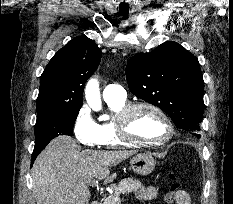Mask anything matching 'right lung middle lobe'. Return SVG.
<instances>
[{
  "label": "right lung middle lobe",
  "mask_w": 233,
  "mask_h": 204,
  "mask_svg": "<svg viewBox=\"0 0 233 204\" xmlns=\"http://www.w3.org/2000/svg\"><path fill=\"white\" fill-rule=\"evenodd\" d=\"M79 110L55 111L37 115L35 146H45L59 135H72L73 126Z\"/></svg>",
  "instance_id": "dd1d6c3e"
}]
</instances>
